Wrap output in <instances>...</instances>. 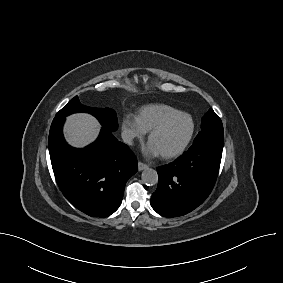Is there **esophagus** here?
Wrapping results in <instances>:
<instances>
[{
  "instance_id": "esophagus-1",
  "label": "esophagus",
  "mask_w": 283,
  "mask_h": 283,
  "mask_svg": "<svg viewBox=\"0 0 283 283\" xmlns=\"http://www.w3.org/2000/svg\"><path fill=\"white\" fill-rule=\"evenodd\" d=\"M148 168V165L143 163V162H138V169L139 171H142L144 169H147Z\"/></svg>"
}]
</instances>
